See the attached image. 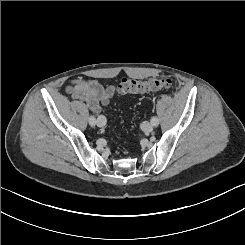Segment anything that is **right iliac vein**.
Segmentation results:
<instances>
[{
  "instance_id": "right-iliac-vein-1",
  "label": "right iliac vein",
  "mask_w": 245,
  "mask_h": 245,
  "mask_svg": "<svg viewBox=\"0 0 245 245\" xmlns=\"http://www.w3.org/2000/svg\"><path fill=\"white\" fill-rule=\"evenodd\" d=\"M105 124H106V119H105V117L102 116V115L98 116V118H97V125H98L99 127H103V126H105Z\"/></svg>"
}]
</instances>
